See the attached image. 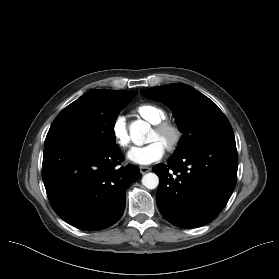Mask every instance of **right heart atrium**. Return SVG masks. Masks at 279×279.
Returning <instances> with one entry per match:
<instances>
[{
  "label": "right heart atrium",
  "mask_w": 279,
  "mask_h": 279,
  "mask_svg": "<svg viewBox=\"0 0 279 279\" xmlns=\"http://www.w3.org/2000/svg\"><path fill=\"white\" fill-rule=\"evenodd\" d=\"M112 136L116 144L121 148H127L130 144V137L127 126L122 117H118L114 120L111 126Z\"/></svg>",
  "instance_id": "1"
}]
</instances>
